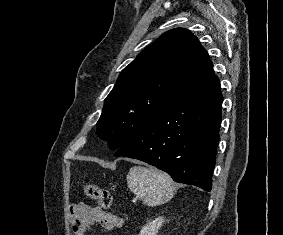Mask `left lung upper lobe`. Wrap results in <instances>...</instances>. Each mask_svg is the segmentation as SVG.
Returning a JSON list of instances; mask_svg holds the SVG:
<instances>
[{
    "label": "left lung upper lobe",
    "mask_w": 283,
    "mask_h": 235,
    "mask_svg": "<svg viewBox=\"0 0 283 235\" xmlns=\"http://www.w3.org/2000/svg\"><path fill=\"white\" fill-rule=\"evenodd\" d=\"M213 76L198 39L187 29L169 30L123 69L105 99L97 134L119 149Z\"/></svg>",
    "instance_id": "5c2ea615"
}]
</instances>
